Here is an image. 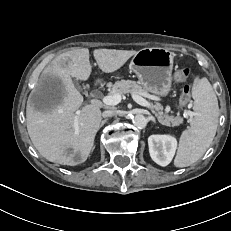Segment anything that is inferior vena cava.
Listing matches in <instances>:
<instances>
[{
    "instance_id": "1",
    "label": "inferior vena cava",
    "mask_w": 231,
    "mask_h": 231,
    "mask_svg": "<svg viewBox=\"0 0 231 231\" xmlns=\"http://www.w3.org/2000/svg\"><path fill=\"white\" fill-rule=\"evenodd\" d=\"M117 114V111H115V110H107V111H104L103 113H102V116L104 117V118H108V117H112V116H114V115H116Z\"/></svg>"
}]
</instances>
